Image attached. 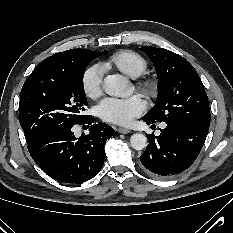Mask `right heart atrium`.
<instances>
[{
	"label": "right heart atrium",
	"mask_w": 233,
	"mask_h": 233,
	"mask_svg": "<svg viewBox=\"0 0 233 233\" xmlns=\"http://www.w3.org/2000/svg\"><path fill=\"white\" fill-rule=\"evenodd\" d=\"M104 69L99 65L87 68L82 76V88L85 94L92 98H98L103 92Z\"/></svg>",
	"instance_id": "d8ad5b80"
}]
</instances>
